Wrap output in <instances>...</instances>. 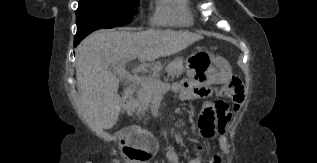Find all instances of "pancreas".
Returning <instances> with one entry per match:
<instances>
[{
  "mask_svg": "<svg viewBox=\"0 0 317 163\" xmlns=\"http://www.w3.org/2000/svg\"><path fill=\"white\" fill-rule=\"evenodd\" d=\"M151 67L153 74L145 78L148 81L146 84L140 85L137 91L138 99L128 108L130 114L135 112L137 116L144 115L145 111L149 108L151 102L157 95L158 90L156 89L154 82L158 80L160 75L159 68L162 66L159 62H156L153 63ZM166 70L169 77H179L185 70L183 60L181 58H175L168 64Z\"/></svg>",
  "mask_w": 317,
  "mask_h": 163,
  "instance_id": "pancreas-1",
  "label": "pancreas"
}]
</instances>
